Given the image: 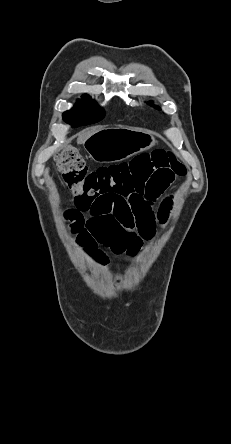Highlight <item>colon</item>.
<instances>
[{
  "label": "colon",
  "mask_w": 231,
  "mask_h": 444,
  "mask_svg": "<svg viewBox=\"0 0 231 444\" xmlns=\"http://www.w3.org/2000/svg\"><path fill=\"white\" fill-rule=\"evenodd\" d=\"M56 163L76 200L119 198L133 210L155 194V186H168L175 177L186 174L185 166L165 150L139 155L128 163L89 170L78 151L66 148L56 157Z\"/></svg>",
  "instance_id": "obj_1"
}]
</instances>
